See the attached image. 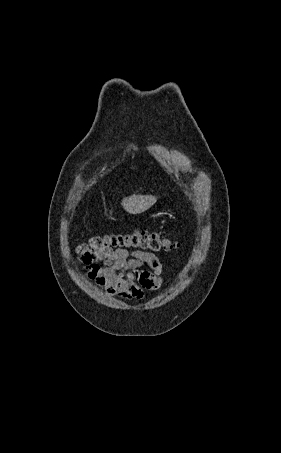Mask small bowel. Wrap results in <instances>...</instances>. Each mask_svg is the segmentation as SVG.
I'll list each match as a JSON object with an SVG mask.
<instances>
[{"instance_id": "1", "label": "small bowel", "mask_w": 281, "mask_h": 453, "mask_svg": "<svg viewBox=\"0 0 281 453\" xmlns=\"http://www.w3.org/2000/svg\"><path fill=\"white\" fill-rule=\"evenodd\" d=\"M103 264L87 260L81 265L85 279L98 285L106 295L142 300L146 291L161 288L167 276L163 263L150 252L118 247L100 253Z\"/></svg>"}]
</instances>
